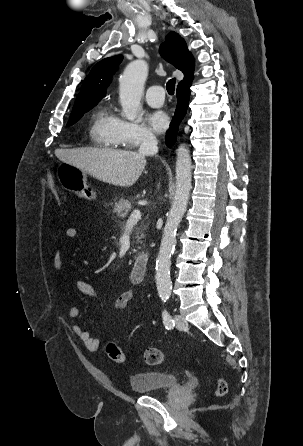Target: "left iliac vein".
<instances>
[{
  "label": "left iliac vein",
  "instance_id": "1",
  "mask_svg": "<svg viewBox=\"0 0 303 446\" xmlns=\"http://www.w3.org/2000/svg\"><path fill=\"white\" fill-rule=\"evenodd\" d=\"M174 320H175V323H176V327H177L179 330H185V329L188 327V323H187V321L184 319L183 316H181V315H175V316H174Z\"/></svg>",
  "mask_w": 303,
  "mask_h": 446
}]
</instances>
